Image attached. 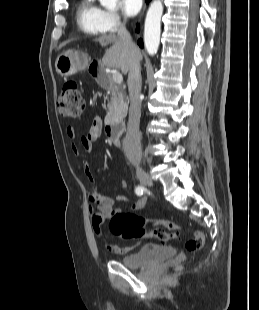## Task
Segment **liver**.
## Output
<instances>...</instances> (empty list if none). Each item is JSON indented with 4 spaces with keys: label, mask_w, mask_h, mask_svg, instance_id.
Masks as SVG:
<instances>
[{
    "label": "liver",
    "mask_w": 259,
    "mask_h": 310,
    "mask_svg": "<svg viewBox=\"0 0 259 310\" xmlns=\"http://www.w3.org/2000/svg\"><path fill=\"white\" fill-rule=\"evenodd\" d=\"M95 41L99 42L101 46L112 43V46L106 50L102 63L108 67L119 68L124 75L128 73L133 57L141 59V54L137 47L132 51L130 47L114 34L102 35Z\"/></svg>",
    "instance_id": "liver-1"
}]
</instances>
